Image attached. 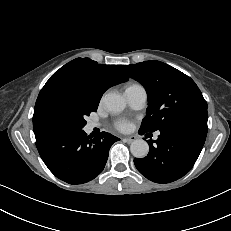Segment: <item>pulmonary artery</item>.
<instances>
[{
  "instance_id": "e3ab8cb5",
  "label": "pulmonary artery",
  "mask_w": 231,
  "mask_h": 231,
  "mask_svg": "<svg viewBox=\"0 0 231 231\" xmlns=\"http://www.w3.org/2000/svg\"><path fill=\"white\" fill-rule=\"evenodd\" d=\"M125 97L130 107L136 110L143 108L147 99L146 91L142 86H135L126 89ZM97 126V123L90 122L88 123V130H92L94 127Z\"/></svg>"
}]
</instances>
